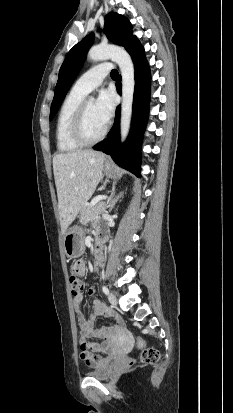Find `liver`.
<instances>
[{
  "label": "liver",
  "instance_id": "6515ba94",
  "mask_svg": "<svg viewBox=\"0 0 233 413\" xmlns=\"http://www.w3.org/2000/svg\"><path fill=\"white\" fill-rule=\"evenodd\" d=\"M105 155L93 150L59 153L53 157L62 233L92 196L103 175Z\"/></svg>",
  "mask_w": 233,
  "mask_h": 413
}]
</instances>
